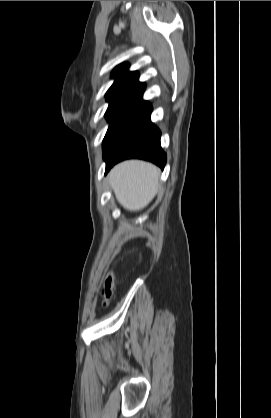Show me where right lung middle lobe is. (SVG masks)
Listing matches in <instances>:
<instances>
[{"mask_svg": "<svg viewBox=\"0 0 271 418\" xmlns=\"http://www.w3.org/2000/svg\"><path fill=\"white\" fill-rule=\"evenodd\" d=\"M152 110L149 103L120 100L112 101L105 113L110 125L103 140V151L129 126L138 121Z\"/></svg>", "mask_w": 271, "mask_h": 418, "instance_id": "dd1d6c3e", "label": "right lung middle lobe"}]
</instances>
